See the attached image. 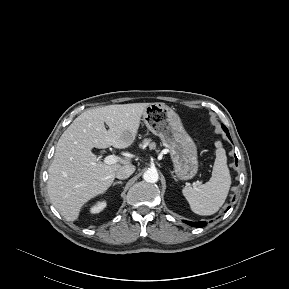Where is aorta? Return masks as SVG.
Segmentation results:
<instances>
[{
  "label": "aorta",
  "instance_id": "aorta-1",
  "mask_svg": "<svg viewBox=\"0 0 289 289\" xmlns=\"http://www.w3.org/2000/svg\"><path fill=\"white\" fill-rule=\"evenodd\" d=\"M143 178L146 182L155 183L158 181L159 175H158V172L156 170L149 169L144 173Z\"/></svg>",
  "mask_w": 289,
  "mask_h": 289
}]
</instances>
